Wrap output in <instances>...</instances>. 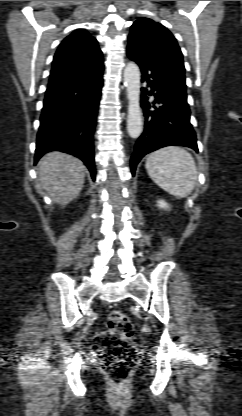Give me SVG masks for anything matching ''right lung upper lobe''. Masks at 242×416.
Here are the masks:
<instances>
[{
  "instance_id": "right-lung-upper-lobe-1",
  "label": "right lung upper lobe",
  "mask_w": 242,
  "mask_h": 416,
  "mask_svg": "<svg viewBox=\"0 0 242 416\" xmlns=\"http://www.w3.org/2000/svg\"><path fill=\"white\" fill-rule=\"evenodd\" d=\"M103 70V56L97 40L78 29L67 36L54 56L48 86L69 83Z\"/></svg>"
}]
</instances>
